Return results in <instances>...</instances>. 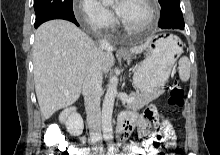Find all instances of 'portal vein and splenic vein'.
<instances>
[{
  "label": "portal vein and splenic vein",
  "instance_id": "obj_1",
  "mask_svg": "<svg viewBox=\"0 0 220 155\" xmlns=\"http://www.w3.org/2000/svg\"><path fill=\"white\" fill-rule=\"evenodd\" d=\"M133 100H134V97L131 96V97L127 100V103H131Z\"/></svg>",
  "mask_w": 220,
  "mask_h": 155
}]
</instances>
